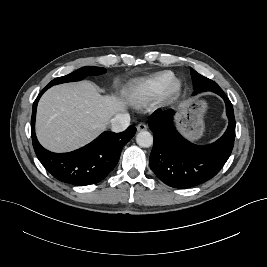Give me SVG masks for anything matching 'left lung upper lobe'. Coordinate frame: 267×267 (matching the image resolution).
Segmentation results:
<instances>
[{"mask_svg": "<svg viewBox=\"0 0 267 267\" xmlns=\"http://www.w3.org/2000/svg\"><path fill=\"white\" fill-rule=\"evenodd\" d=\"M190 72H191V77L193 79L194 92L204 90L208 87L219 90L221 89L217 83L200 75L194 69L190 68Z\"/></svg>", "mask_w": 267, "mask_h": 267, "instance_id": "1", "label": "left lung upper lobe"}]
</instances>
